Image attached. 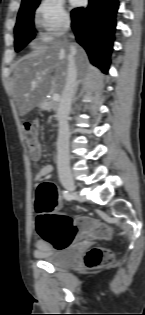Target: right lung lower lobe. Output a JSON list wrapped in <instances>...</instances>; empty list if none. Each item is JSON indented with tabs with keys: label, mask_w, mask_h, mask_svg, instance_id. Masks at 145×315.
<instances>
[{
	"label": "right lung lower lobe",
	"mask_w": 145,
	"mask_h": 315,
	"mask_svg": "<svg viewBox=\"0 0 145 315\" xmlns=\"http://www.w3.org/2000/svg\"><path fill=\"white\" fill-rule=\"evenodd\" d=\"M117 9L118 0H89L87 7L71 12L77 42L85 48L90 62L104 72L109 69Z\"/></svg>",
	"instance_id": "1"
}]
</instances>
